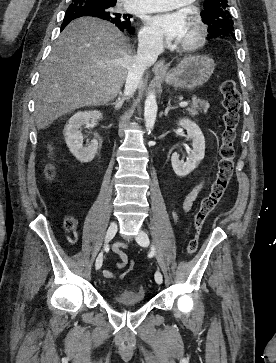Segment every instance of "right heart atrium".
<instances>
[{"instance_id": "right-heart-atrium-1", "label": "right heart atrium", "mask_w": 276, "mask_h": 363, "mask_svg": "<svg viewBox=\"0 0 276 363\" xmlns=\"http://www.w3.org/2000/svg\"><path fill=\"white\" fill-rule=\"evenodd\" d=\"M141 39L145 45L157 46L160 44V39L153 34L148 28H144L141 32Z\"/></svg>"}]
</instances>
